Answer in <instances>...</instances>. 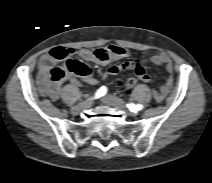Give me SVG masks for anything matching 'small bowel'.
Returning <instances> with one entry per match:
<instances>
[{"label": "small bowel", "instance_id": "1", "mask_svg": "<svg viewBox=\"0 0 212 183\" xmlns=\"http://www.w3.org/2000/svg\"><path fill=\"white\" fill-rule=\"evenodd\" d=\"M69 54L73 53L72 49H67ZM80 58L85 61L93 62L97 64L107 65L119 59L127 58L130 53L128 50L117 45H109L106 47L96 48V49H83L78 52ZM57 60L52 56L51 52L43 55L39 60V83L43 95L47 96L51 100L55 101L59 98L61 91V82L54 83L49 79V73L51 69L55 66ZM151 62L156 65H165L167 71L169 72V77L166 82L154 92V97L157 102H162L164 98L169 94L173 85V66L170 57L165 52H158L151 56ZM133 69L137 77L144 81H151V75L144 69L141 64H133L130 62L123 63L120 65H112L107 68L103 76L109 77L117 75L120 72ZM89 72L85 76H79L89 85H95L96 79L92 74L90 68ZM64 80H68L72 85H78L79 81L74 74H67ZM63 80V81H64Z\"/></svg>", "mask_w": 212, "mask_h": 183}]
</instances>
